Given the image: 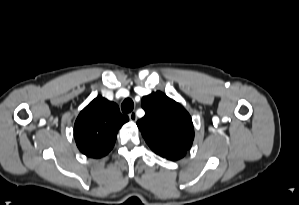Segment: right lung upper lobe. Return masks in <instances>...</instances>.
Returning <instances> with one entry per match:
<instances>
[{"mask_svg":"<svg viewBox=\"0 0 299 205\" xmlns=\"http://www.w3.org/2000/svg\"><path fill=\"white\" fill-rule=\"evenodd\" d=\"M128 121L119 107L102 96L92 100L78 115L74 138L79 150L88 157L101 158L113 148L117 132Z\"/></svg>","mask_w":299,"mask_h":205,"instance_id":"1","label":"right lung upper lobe"}]
</instances>
